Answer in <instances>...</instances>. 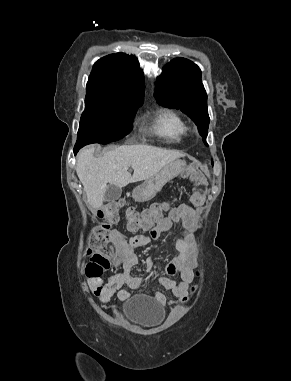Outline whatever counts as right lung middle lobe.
<instances>
[{"mask_svg": "<svg viewBox=\"0 0 291 381\" xmlns=\"http://www.w3.org/2000/svg\"><path fill=\"white\" fill-rule=\"evenodd\" d=\"M141 105L86 95L76 145L108 144L123 138L131 131L133 118Z\"/></svg>", "mask_w": 291, "mask_h": 381, "instance_id": "right-lung-middle-lobe-1", "label": "right lung middle lobe"}]
</instances>
